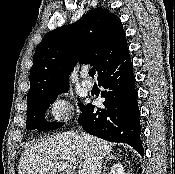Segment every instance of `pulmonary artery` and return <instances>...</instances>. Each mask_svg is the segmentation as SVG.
Returning <instances> with one entry per match:
<instances>
[{"instance_id":"obj_1","label":"pulmonary artery","mask_w":175,"mask_h":174,"mask_svg":"<svg viewBox=\"0 0 175 174\" xmlns=\"http://www.w3.org/2000/svg\"><path fill=\"white\" fill-rule=\"evenodd\" d=\"M87 76H88L87 71H84L82 73L83 80L81 84L85 90L90 91L93 88V83L87 79Z\"/></svg>"}]
</instances>
